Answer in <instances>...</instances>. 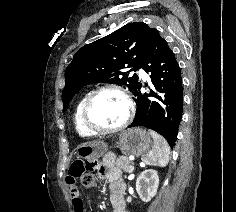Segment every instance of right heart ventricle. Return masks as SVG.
I'll return each instance as SVG.
<instances>
[{"instance_id": "e07e8e85", "label": "right heart ventricle", "mask_w": 236, "mask_h": 212, "mask_svg": "<svg viewBox=\"0 0 236 212\" xmlns=\"http://www.w3.org/2000/svg\"><path fill=\"white\" fill-rule=\"evenodd\" d=\"M86 97H87V94H85L79 98V100L77 101V103L74 107V111H73L74 128H75L76 133L80 137H92L95 135V134L91 133L90 131H88L82 122V108H83V104H84Z\"/></svg>"}]
</instances>
